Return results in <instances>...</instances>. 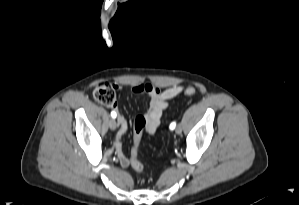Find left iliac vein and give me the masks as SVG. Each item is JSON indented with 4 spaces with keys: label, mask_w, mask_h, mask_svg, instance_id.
<instances>
[{
    "label": "left iliac vein",
    "mask_w": 299,
    "mask_h": 205,
    "mask_svg": "<svg viewBox=\"0 0 299 205\" xmlns=\"http://www.w3.org/2000/svg\"><path fill=\"white\" fill-rule=\"evenodd\" d=\"M176 133L177 134H181V132H182V127L181 126H178L177 128H176Z\"/></svg>",
    "instance_id": "4c4485c4"
}]
</instances>
